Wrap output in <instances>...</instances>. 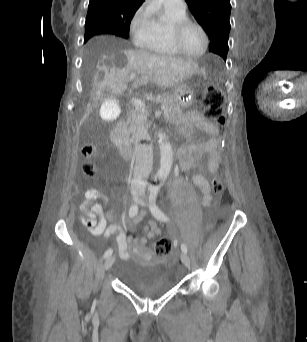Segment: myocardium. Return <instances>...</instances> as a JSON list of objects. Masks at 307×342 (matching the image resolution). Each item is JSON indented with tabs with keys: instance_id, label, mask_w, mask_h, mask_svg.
Masks as SVG:
<instances>
[{
	"instance_id": "myocardium-1",
	"label": "myocardium",
	"mask_w": 307,
	"mask_h": 342,
	"mask_svg": "<svg viewBox=\"0 0 307 342\" xmlns=\"http://www.w3.org/2000/svg\"><path fill=\"white\" fill-rule=\"evenodd\" d=\"M191 24H197L204 35V48L203 51L196 56H193L189 54L183 45V35L187 27ZM169 36H170V41L174 48L184 57L190 59V60H200L202 59L208 52L209 50V45H210V39H209V32L206 27V25L198 18L195 17H184L182 19L172 21L169 24Z\"/></svg>"
}]
</instances>
